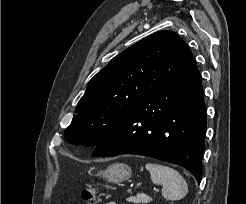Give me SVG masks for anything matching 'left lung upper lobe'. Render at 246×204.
Segmentation results:
<instances>
[{"label":"left lung upper lobe","instance_id":"left-lung-upper-lobe-1","mask_svg":"<svg viewBox=\"0 0 246 204\" xmlns=\"http://www.w3.org/2000/svg\"><path fill=\"white\" fill-rule=\"evenodd\" d=\"M192 60L186 43L168 30L127 48L90 80L65 130L66 141L96 147L128 113Z\"/></svg>","mask_w":246,"mask_h":204}]
</instances>
